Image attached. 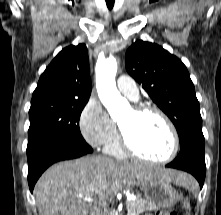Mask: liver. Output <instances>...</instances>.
Listing matches in <instances>:
<instances>
[{
    "instance_id": "obj_1",
    "label": "liver",
    "mask_w": 221,
    "mask_h": 215,
    "mask_svg": "<svg viewBox=\"0 0 221 215\" xmlns=\"http://www.w3.org/2000/svg\"><path fill=\"white\" fill-rule=\"evenodd\" d=\"M152 177L182 186L194 182L176 170L88 156L52 165L36 183L34 195L39 215H87L93 200L97 205L123 185L138 186Z\"/></svg>"
}]
</instances>
